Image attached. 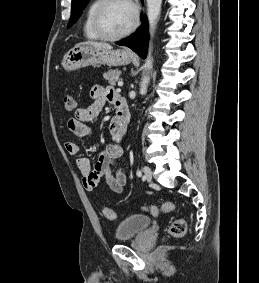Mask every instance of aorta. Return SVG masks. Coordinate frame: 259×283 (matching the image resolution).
Wrapping results in <instances>:
<instances>
[{
  "label": "aorta",
  "mask_w": 259,
  "mask_h": 283,
  "mask_svg": "<svg viewBox=\"0 0 259 283\" xmlns=\"http://www.w3.org/2000/svg\"><path fill=\"white\" fill-rule=\"evenodd\" d=\"M146 1H147V17L149 22V33L150 36L153 37L161 12L162 0H146ZM152 67H153V58L151 56V46H150L147 59L145 60L144 68L146 71H149L152 69ZM149 82H150L149 75L148 74L144 75L140 83L141 94L147 91Z\"/></svg>",
  "instance_id": "762f6f07"
}]
</instances>
